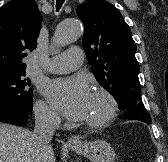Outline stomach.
<instances>
[{
	"mask_svg": "<svg viewBox=\"0 0 168 162\" xmlns=\"http://www.w3.org/2000/svg\"><path fill=\"white\" fill-rule=\"evenodd\" d=\"M76 153L87 157L92 162H114L115 152L104 140L83 143L81 146H70Z\"/></svg>",
	"mask_w": 168,
	"mask_h": 162,
	"instance_id": "stomach-1",
	"label": "stomach"
}]
</instances>
